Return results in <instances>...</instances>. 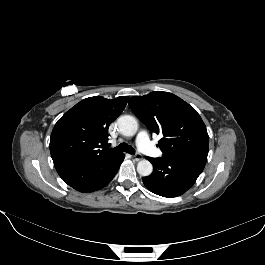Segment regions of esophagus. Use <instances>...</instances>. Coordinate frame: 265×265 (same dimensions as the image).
<instances>
[{"instance_id": "esophagus-1", "label": "esophagus", "mask_w": 265, "mask_h": 265, "mask_svg": "<svg viewBox=\"0 0 265 265\" xmlns=\"http://www.w3.org/2000/svg\"><path fill=\"white\" fill-rule=\"evenodd\" d=\"M132 158L135 160V161H139L142 159V156L140 154H134L132 155Z\"/></svg>"}]
</instances>
